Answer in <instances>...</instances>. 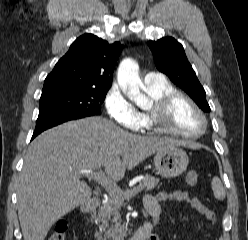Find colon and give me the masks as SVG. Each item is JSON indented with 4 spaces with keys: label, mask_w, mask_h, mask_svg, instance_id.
<instances>
[{
    "label": "colon",
    "mask_w": 248,
    "mask_h": 240,
    "mask_svg": "<svg viewBox=\"0 0 248 240\" xmlns=\"http://www.w3.org/2000/svg\"><path fill=\"white\" fill-rule=\"evenodd\" d=\"M198 181V174L195 171H190L186 175V183L189 186H194ZM66 223L60 221L56 224L54 232L48 240H65Z\"/></svg>",
    "instance_id": "obj_1"
}]
</instances>
